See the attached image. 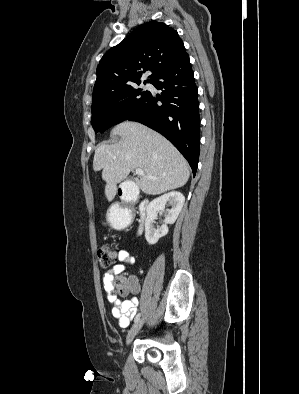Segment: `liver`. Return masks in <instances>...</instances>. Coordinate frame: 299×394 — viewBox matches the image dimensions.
I'll list each match as a JSON object with an SVG mask.
<instances>
[{
    "label": "liver",
    "mask_w": 299,
    "mask_h": 394,
    "mask_svg": "<svg viewBox=\"0 0 299 394\" xmlns=\"http://www.w3.org/2000/svg\"><path fill=\"white\" fill-rule=\"evenodd\" d=\"M111 135L119 136L120 140L99 146L93 160L94 171L102 170L109 201L116 195L117 184L133 169L144 171L145 175L136 182L148 195H159L187 183L190 172L186 159L156 131L137 122L125 121L116 125Z\"/></svg>",
    "instance_id": "1"
}]
</instances>
